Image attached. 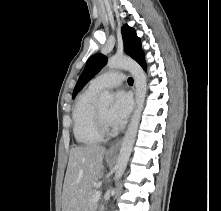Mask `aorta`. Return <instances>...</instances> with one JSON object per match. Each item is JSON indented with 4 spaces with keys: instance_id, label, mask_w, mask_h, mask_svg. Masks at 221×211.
<instances>
[{
    "instance_id": "aorta-1",
    "label": "aorta",
    "mask_w": 221,
    "mask_h": 211,
    "mask_svg": "<svg viewBox=\"0 0 221 211\" xmlns=\"http://www.w3.org/2000/svg\"><path fill=\"white\" fill-rule=\"evenodd\" d=\"M109 69H124L128 70L134 77L135 81V100L136 106L134 113L132 115L130 124L123 138L121 148L119 151L117 163H116V173L115 180L118 181L127 166L129 157L131 155L135 138L138 131V126L140 122L141 113L144 106V101L146 97L147 89V79L146 75L141 68V66L134 60L124 57V56H114L108 59L107 65ZM114 101V95L109 91H103L99 97V105L108 106Z\"/></svg>"
}]
</instances>
